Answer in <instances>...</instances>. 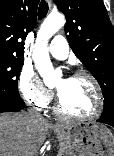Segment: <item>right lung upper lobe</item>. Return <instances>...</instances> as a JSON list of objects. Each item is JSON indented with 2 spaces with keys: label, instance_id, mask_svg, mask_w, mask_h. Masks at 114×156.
I'll return each instance as SVG.
<instances>
[{
  "label": "right lung upper lobe",
  "instance_id": "obj_1",
  "mask_svg": "<svg viewBox=\"0 0 114 156\" xmlns=\"http://www.w3.org/2000/svg\"><path fill=\"white\" fill-rule=\"evenodd\" d=\"M39 0H0V57L24 58V40L36 25Z\"/></svg>",
  "mask_w": 114,
  "mask_h": 156
}]
</instances>
